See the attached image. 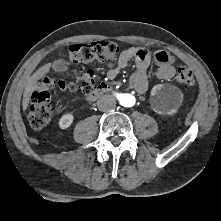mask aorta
I'll return each instance as SVG.
<instances>
[{
  "label": "aorta",
  "mask_w": 221,
  "mask_h": 221,
  "mask_svg": "<svg viewBox=\"0 0 221 221\" xmlns=\"http://www.w3.org/2000/svg\"><path fill=\"white\" fill-rule=\"evenodd\" d=\"M120 102L125 107H132L135 104V97L131 94L120 95Z\"/></svg>",
  "instance_id": "762f6f07"
}]
</instances>
